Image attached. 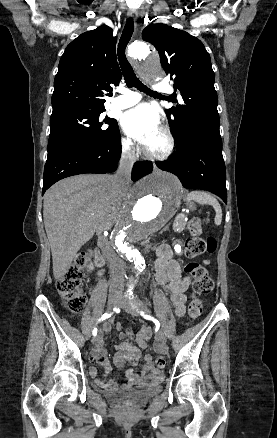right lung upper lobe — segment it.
<instances>
[{
	"label": "right lung upper lobe",
	"instance_id": "right-lung-upper-lobe-1",
	"mask_svg": "<svg viewBox=\"0 0 277 438\" xmlns=\"http://www.w3.org/2000/svg\"><path fill=\"white\" fill-rule=\"evenodd\" d=\"M116 37L102 25L72 41L63 53L54 81L52 115L105 110V92L118 85L122 75L116 60Z\"/></svg>",
	"mask_w": 277,
	"mask_h": 438
}]
</instances>
